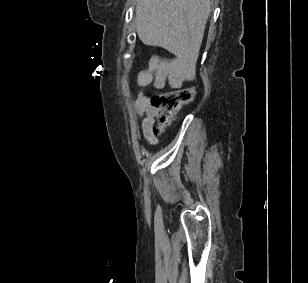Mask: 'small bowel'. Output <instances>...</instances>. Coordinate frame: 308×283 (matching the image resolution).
<instances>
[{"instance_id":"obj_1","label":"small bowel","mask_w":308,"mask_h":283,"mask_svg":"<svg viewBox=\"0 0 308 283\" xmlns=\"http://www.w3.org/2000/svg\"><path fill=\"white\" fill-rule=\"evenodd\" d=\"M195 74L193 62H182L176 58H155L149 67L137 75V85L141 88L152 85L157 90H163L167 83L178 85L183 80L190 79ZM135 108L139 116H143L142 132L150 145L157 143L152 126L158 112L150 106L148 98L141 91L135 100Z\"/></svg>"}]
</instances>
